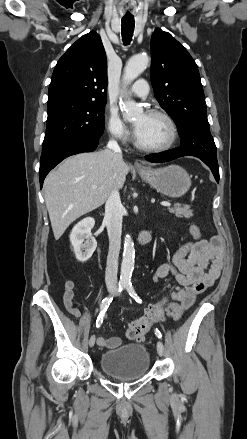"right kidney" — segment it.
Listing matches in <instances>:
<instances>
[{
	"label": "right kidney",
	"instance_id": "obj_1",
	"mask_svg": "<svg viewBox=\"0 0 247 439\" xmlns=\"http://www.w3.org/2000/svg\"><path fill=\"white\" fill-rule=\"evenodd\" d=\"M95 225L94 218L87 217L78 222L70 234V242L76 259L80 262H85L94 253L97 242L91 234V229Z\"/></svg>",
	"mask_w": 247,
	"mask_h": 439
}]
</instances>
